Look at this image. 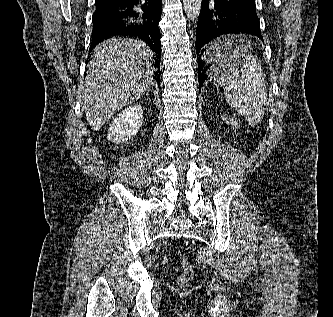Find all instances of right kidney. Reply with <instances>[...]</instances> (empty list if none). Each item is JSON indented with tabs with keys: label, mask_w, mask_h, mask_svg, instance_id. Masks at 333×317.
<instances>
[{
	"label": "right kidney",
	"mask_w": 333,
	"mask_h": 317,
	"mask_svg": "<svg viewBox=\"0 0 333 317\" xmlns=\"http://www.w3.org/2000/svg\"><path fill=\"white\" fill-rule=\"evenodd\" d=\"M143 121V109L139 104L131 105L121 111L109 125L107 139L124 142L133 137Z\"/></svg>",
	"instance_id": "obj_1"
}]
</instances>
